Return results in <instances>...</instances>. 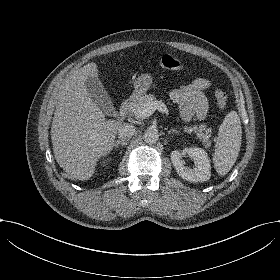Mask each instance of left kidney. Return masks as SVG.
Instances as JSON below:
<instances>
[{
    "instance_id": "obj_1",
    "label": "left kidney",
    "mask_w": 280,
    "mask_h": 280,
    "mask_svg": "<svg viewBox=\"0 0 280 280\" xmlns=\"http://www.w3.org/2000/svg\"><path fill=\"white\" fill-rule=\"evenodd\" d=\"M183 152L187 153L194 162V167L190 168L185 165L182 159L183 153L172 151L171 161L178 175L190 182H204L210 179V160L207 153L202 148H187Z\"/></svg>"
}]
</instances>
